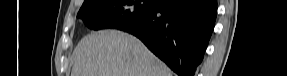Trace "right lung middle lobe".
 I'll use <instances>...</instances> for the list:
<instances>
[{
	"instance_id": "1",
	"label": "right lung middle lobe",
	"mask_w": 287,
	"mask_h": 76,
	"mask_svg": "<svg viewBox=\"0 0 287 76\" xmlns=\"http://www.w3.org/2000/svg\"><path fill=\"white\" fill-rule=\"evenodd\" d=\"M156 0H89L83 3L77 17L93 30L119 29L146 19Z\"/></svg>"
}]
</instances>
